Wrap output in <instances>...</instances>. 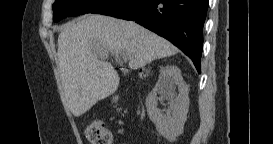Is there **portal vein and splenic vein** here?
Instances as JSON below:
<instances>
[{"mask_svg": "<svg viewBox=\"0 0 273 144\" xmlns=\"http://www.w3.org/2000/svg\"><path fill=\"white\" fill-rule=\"evenodd\" d=\"M121 55H122L124 58H126V59L129 58V54L126 53V52H122ZM116 56H118V55H116Z\"/></svg>", "mask_w": 273, "mask_h": 144, "instance_id": "1", "label": "portal vein and splenic vein"}]
</instances>
